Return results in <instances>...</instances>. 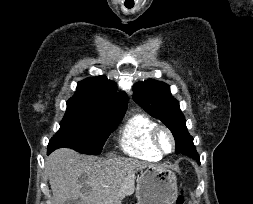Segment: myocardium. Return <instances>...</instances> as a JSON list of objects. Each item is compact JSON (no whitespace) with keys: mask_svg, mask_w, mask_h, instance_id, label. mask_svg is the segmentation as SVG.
<instances>
[{"mask_svg":"<svg viewBox=\"0 0 253 204\" xmlns=\"http://www.w3.org/2000/svg\"><path fill=\"white\" fill-rule=\"evenodd\" d=\"M164 132L166 133L172 143V148L170 151H165L160 143V134ZM152 143L154 145V147L156 148V150L162 155V156H166V155H171L172 153L175 152L176 150V139L174 137L173 132L165 125H156L155 128L152 131Z\"/></svg>","mask_w":253,"mask_h":204,"instance_id":"obj_1","label":"myocardium"}]
</instances>
